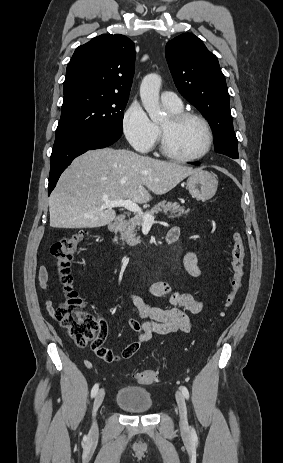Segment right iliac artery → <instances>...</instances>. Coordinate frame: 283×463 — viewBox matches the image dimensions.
Returning <instances> with one entry per match:
<instances>
[{
	"mask_svg": "<svg viewBox=\"0 0 283 463\" xmlns=\"http://www.w3.org/2000/svg\"><path fill=\"white\" fill-rule=\"evenodd\" d=\"M99 385L95 384L91 390V397L93 398L98 392Z\"/></svg>",
	"mask_w": 283,
	"mask_h": 463,
	"instance_id": "1",
	"label": "right iliac artery"
}]
</instances>
